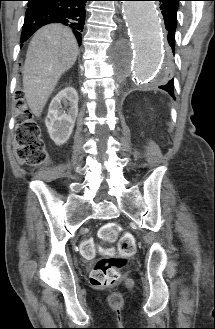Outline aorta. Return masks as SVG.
I'll return each mask as SVG.
<instances>
[{
	"instance_id": "obj_1",
	"label": "aorta",
	"mask_w": 215,
	"mask_h": 329,
	"mask_svg": "<svg viewBox=\"0 0 215 329\" xmlns=\"http://www.w3.org/2000/svg\"><path fill=\"white\" fill-rule=\"evenodd\" d=\"M123 15L135 50L133 67L143 83H154L163 77V30L153 1H123Z\"/></svg>"
}]
</instances>
